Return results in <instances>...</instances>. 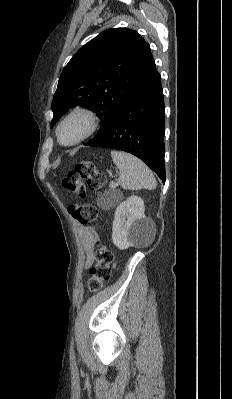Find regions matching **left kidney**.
<instances>
[{"instance_id":"obj_1","label":"left kidney","mask_w":232,"mask_h":399,"mask_svg":"<svg viewBox=\"0 0 232 399\" xmlns=\"http://www.w3.org/2000/svg\"><path fill=\"white\" fill-rule=\"evenodd\" d=\"M144 201L130 196L118 205L113 221L112 239L119 249H127L145 239L151 227L145 213Z\"/></svg>"}]
</instances>
